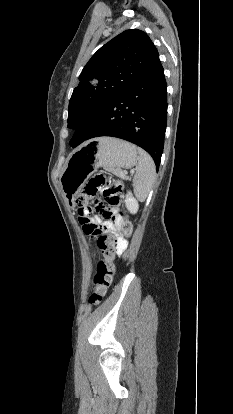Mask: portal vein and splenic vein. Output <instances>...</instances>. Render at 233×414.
I'll use <instances>...</instances> for the list:
<instances>
[{"instance_id": "18ae733b", "label": "portal vein and splenic vein", "mask_w": 233, "mask_h": 414, "mask_svg": "<svg viewBox=\"0 0 233 414\" xmlns=\"http://www.w3.org/2000/svg\"><path fill=\"white\" fill-rule=\"evenodd\" d=\"M130 173H132V174H133V173H134V170H131V171H130ZM122 175H125V174H124V173H122Z\"/></svg>"}]
</instances>
